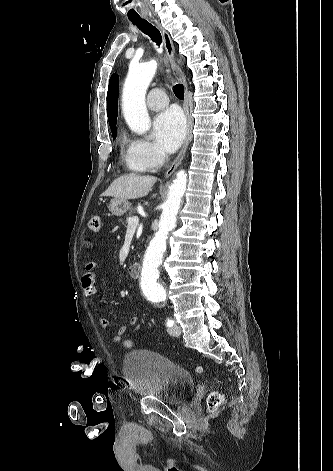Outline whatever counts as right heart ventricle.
<instances>
[{
	"label": "right heart ventricle",
	"instance_id": "obj_1",
	"mask_svg": "<svg viewBox=\"0 0 333 471\" xmlns=\"http://www.w3.org/2000/svg\"><path fill=\"white\" fill-rule=\"evenodd\" d=\"M125 159H126V162H127L128 166H129L133 171H136V172H143V171H144V170L140 169L139 167H137V166L132 162V160H131L130 157H129L128 150H127V152H126Z\"/></svg>",
	"mask_w": 333,
	"mask_h": 471
}]
</instances>
